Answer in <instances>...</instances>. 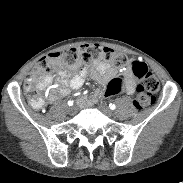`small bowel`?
I'll list each match as a JSON object with an SVG mask.
<instances>
[{"label": "small bowel", "mask_w": 183, "mask_h": 183, "mask_svg": "<svg viewBox=\"0 0 183 183\" xmlns=\"http://www.w3.org/2000/svg\"><path fill=\"white\" fill-rule=\"evenodd\" d=\"M58 74L62 78H67L68 80L62 81L57 87V89L52 93L51 98L53 100H56L60 97L67 95L70 92V90L79 89L83 85L85 78L88 76H90L93 80H95L99 84L102 85L108 84L115 77L116 70L109 64L100 62L95 65V70L92 72L88 68H82L80 71L70 74L67 73L65 70H59ZM124 81L125 86L122 89V91H124L127 94H133L136 88V77L132 70L131 64H129L127 68L124 70ZM81 99H86L87 101L90 100L87 98H81Z\"/></svg>", "instance_id": "c3829d8e"}]
</instances>
